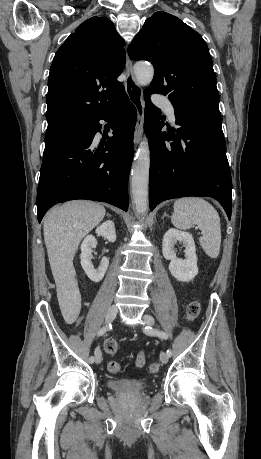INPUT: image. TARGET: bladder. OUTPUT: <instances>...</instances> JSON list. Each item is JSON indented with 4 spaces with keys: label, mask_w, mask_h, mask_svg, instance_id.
I'll return each instance as SVG.
<instances>
[{
    "label": "bladder",
    "mask_w": 261,
    "mask_h": 459,
    "mask_svg": "<svg viewBox=\"0 0 261 459\" xmlns=\"http://www.w3.org/2000/svg\"><path fill=\"white\" fill-rule=\"evenodd\" d=\"M108 387L117 393L138 394L146 390V384L137 379H111Z\"/></svg>",
    "instance_id": "1"
}]
</instances>
